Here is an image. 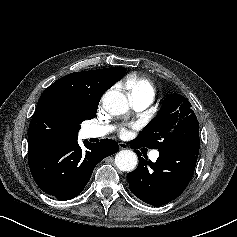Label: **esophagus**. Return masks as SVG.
<instances>
[{"label":"esophagus","instance_id":"obj_1","mask_svg":"<svg viewBox=\"0 0 237 237\" xmlns=\"http://www.w3.org/2000/svg\"><path fill=\"white\" fill-rule=\"evenodd\" d=\"M119 148H120L121 150H124V149H127L128 146H127L126 143H124V142H120V143H119Z\"/></svg>","mask_w":237,"mask_h":237}]
</instances>
